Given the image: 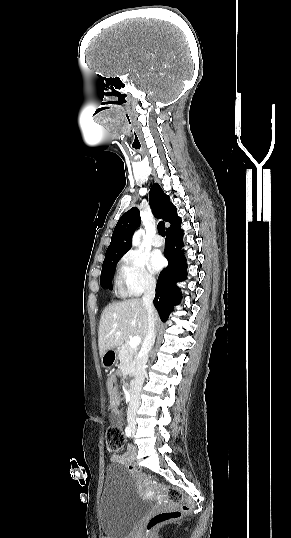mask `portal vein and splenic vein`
Here are the masks:
<instances>
[{"mask_svg":"<svg viewBox=\"0 0 291 538\" xmlns=\"http://www.w3.org/2000/svg\"><path fill=\"white\" fill-rule=\"evenodd\" d=\"M132 325H134V323ZM140 343H141L140 336H134L129 341V345L132 348H137L140 345Z\"/></svg>","mask_w":291,"mask_h":538,"instance_id":"obj_1","label":"portal vein and splenic vein"}]
</instances>
